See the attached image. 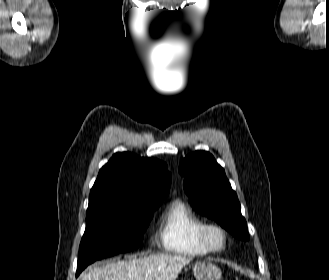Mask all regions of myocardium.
<instances>
[{
  "label": "myocardium",
  "mask_w": 329,
  "mask_h": 280,
  "mask_svg": "<svg viewBox=\"0 0 329 280\" xmlns=\"http://www.w3.org/2000/svg\"><path fill=\"white\" fill-rule=\"evenodd\" d=\"M218 233L221 237V242L216 244L212 240V234ZM200 240L203 245L211 252L222 251L227 244V231L218 223H205L200 230Z\"/></svg>",
  "instance_id": "1"
}]
</instances>
